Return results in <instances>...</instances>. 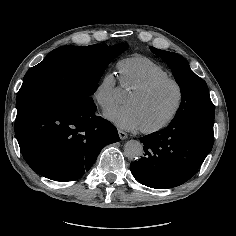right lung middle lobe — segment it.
<instances>
[{"mask_svg": "<svg viewBox=\"0 0 236 236\" xmlns=\"http://www.w3.org/2000/svg\"><path fill=\"white\" fill-rule=\"evenodd\" d=\"M126 43L64 46L30 68L18 92L17 114L39 103L75 100L93 104L91 95L108 64L127 50Z\"/></svg>", "mask_w": 236, "mask_h": 236, "instance_id": "1", "label": "right lung middle lobe"}]
</instances>
